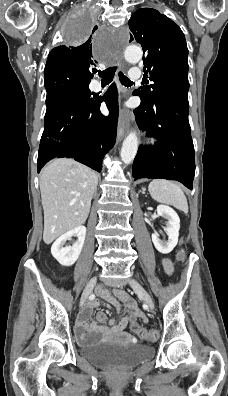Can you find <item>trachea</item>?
<instances>
[{"instance_id":"trachea-1","label":"trachea","mask_w":228,"mask_h":396,"mask_svg":"<svg viewBox=\"0 0 228 396\" xmlns=\"http://www.w3.org/2000/svg\"><path fill=\"white\" fill-rule=\"evenodd\" d=\"M99 76L101 77V83L103 85H108L114 78L116 67H109L103 71L97 70ZM119 80L124 86H131L133 84L130 79H128L121 71L118 73Z\"/></svg>"}]
</instances>
